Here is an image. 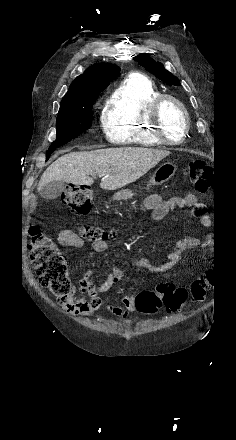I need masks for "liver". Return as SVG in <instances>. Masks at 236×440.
Listing matches in <instances>:
<instances>
[{
	"instance_id": "liver-1",
	"label": "liver",
	"mask_w": 236,
	"mask_h": 440,
	"mask_svg": "<svg viewBox=\"0 0 236 440\" xmlns=\"http://www.w3.org/2000/svg\"><path fill=\"white\" fill-rule=\"evenodd\" d=\"M169 151L140 147L99 149L89 152H70L59 157L42 174L38 192L54 181L74 185H91V176L102 177L104 190L122 188L142 177Z\"/></svg>"
}]
</instances>
